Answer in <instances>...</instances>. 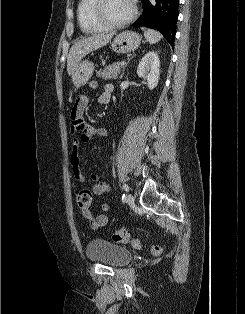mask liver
<instances>
[{"label":"liver","mask_w":245,"mask_h":314,"mask_svg":"<svg viewBox=\"0 0 245 314\" xmlns=\"http://www.w3.org/2000/svg\"><path fill=\"white\" fill-rule=\"evenodd\" d=\"M114 34L115 33L113 32L109 34H95L75 42L67 57L68 74L72 75L83 57L90 52L105 46Z\"/></svg>","instance_id":"1"}]
</instances>
